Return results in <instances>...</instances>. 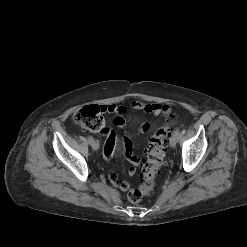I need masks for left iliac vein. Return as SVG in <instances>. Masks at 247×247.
I'll return each instance as SVG.
<instances>
[{"label": "left iliac vein", "mask_w": 247, "mask_h": 247, "mask_svg": "<svg viewBox=\"0 0 247 247\" xmlns=\"http://www.w3.org/2000/svg\"><path fill=\"white\" fill-rule=\"evenodd\" d=\"M178 138H179V136L175 135V133H173L172 136L170 137L169 142H170V146L172 148H175L177 141H178Z\"/></svg>", "instance_id": "obj_1"}]
</instances>
